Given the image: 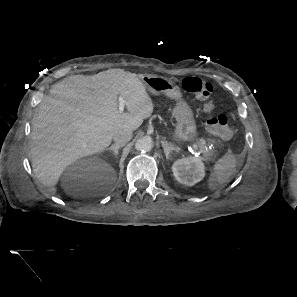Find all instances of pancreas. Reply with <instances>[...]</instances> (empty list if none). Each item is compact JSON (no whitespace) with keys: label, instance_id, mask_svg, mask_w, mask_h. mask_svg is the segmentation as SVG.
Returning <instances> with one entry per match:
<instances>
[{"label":"pancreas","instance_id":"pancreas-1","mask_svg":"<svg viewBox=\"0 0 297 297\" xmlns=\"http://www.w3.org/2000/svg\"><path fill=\"white\" fill-rule=\"evenodd\" d=\"M208 143L205 139H199L197 140V146L199 147L200 151L203 153L204 157L206 159H210L214 154V150H210L207 147Z\"/></svg>","mask_w":297,"mask_h":297}]
</instances>
